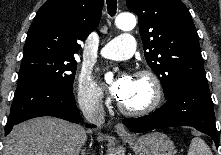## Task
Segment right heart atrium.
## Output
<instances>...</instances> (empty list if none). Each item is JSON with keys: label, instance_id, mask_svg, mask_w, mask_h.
I'll return each mask as SVG.
<instances>
[{"label": "right heart atrium", "instance_id": "right-heart-atrium-1", "mask_svg": "<svg viewBox=\"0 0 221 155\" xmlns=\"http://www.w3.org/2000/svg\"><path fill=\"white\" fill-rule=\"evenodd\" d=\"M77 98L80 104L88 107H97L104 103V94L101 87L87 71H83L79 75Z\"/></svg>", "mask_w": 221, "mask_h": 155}]
</instances>
